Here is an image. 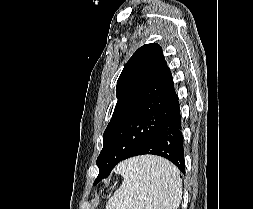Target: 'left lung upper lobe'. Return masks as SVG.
Wrapping results in <instances>:
<instances>
[{
	"instance_id": "obj_1",
	"label": "left lung upper lobe",
	"mask_w": 253,
	"mask_h": 209,
	"mask_svg": "<svg viewBox=\"0 0 253 209\" xmlns=\"http://www.w3.org/2000/svg\"><path fill=\"white\" fill-rule=\"evenodd\" d=\"M116 95L118 101L96 161L98 176L139 151L178 107L172 75L160 45L144 44L136 50L118 78Z\"/></svg>"
}]
</instances>
